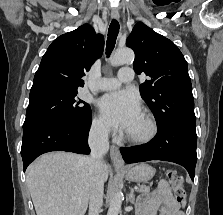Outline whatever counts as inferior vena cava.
Here are the masks:
<instances>
[{
	"label": "inferior vena cava",
	"instance_id": "602c4592",
	"mask_svg": "<svg viewBox=\"0 0 223 215\" xmlns=\"http://www.w3.org/2000/svg\"><path fill=\"white\" fill-rule=\"evenodd\" d=\"M109 129L107 127H91L88 143L91 153L88 155V169L90 175L89 215H99L103 203L104 173L103 155L109 149Z\"/></svg>",
	"mask_w": 223,
	"mask_h": 215
}]
</instances>
